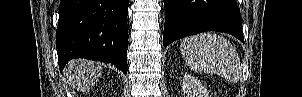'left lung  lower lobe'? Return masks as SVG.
Returning a JSON list of instances; mask_svg holds the SVG:
<instances>
[{
	"label": "left lung lower lobe",
	"mask_w": 302,
	"mask_h": 97,
	"mask_svg": "<svg viewBox=\"0 0 302 97\" xmlns=\"http://www.w3.org/2000/svg\"><path fill=\"white\" fill-rule=\"evenodd\" d=\"M163 45L204 31L229 33L244 43L241 15L235 0H163Z\"/></svg>",
	"instance_id": "0a47b994"
}]
</instances>
